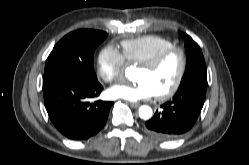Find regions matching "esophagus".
Returning <instances> with one entry per match:
<instances>
[{
    "instance_id": "esophagus-1",
    "label": "esophagus",
    "mask_w": 249,
    "mask_h": 165,
    "mask_svg": "<svg viewBox=\"0 0 249 165\" xmlns=\"http://www.w3.org/2000/svg\"><path fill=\"white\" fill-rule=\"evenodd\" d=\"M130 106L133 108H137L140 106V104L139 103H130Z\"/></svg>"
}]
</instances>
